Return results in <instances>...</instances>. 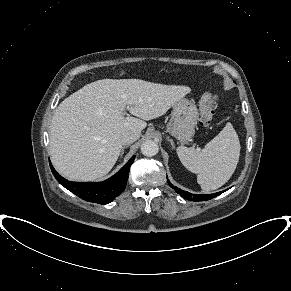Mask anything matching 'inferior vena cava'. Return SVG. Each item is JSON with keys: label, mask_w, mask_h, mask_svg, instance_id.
<instances>
[{"label": "inferior vena cava", "mask_w": 291, "mask_h": 291, "mask_svg": "<svg viewBox=\"0 0 291 291\" xmlns=\"http://www.w3.org/2000/svg\"><path fill=\"white\" fill-rule=\"evenodd\" d=\"M140 137V132L138 131H126L121 135L122 144H130L136 141Z\"/></svg>", "instance_id": "obj_1"}]
</instances>
